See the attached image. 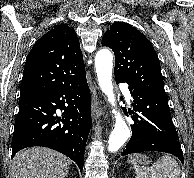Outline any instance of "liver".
Returning a JSON list of instances; mask_svg holds the SVG:
<instances>
[{
  "label": "liver",
  "mask_w": 194,
  "mask_h": 178,
  "mask_svg": "<svg viewBox=\"0 0 194 178\" xmlns=\"http://www.w3.org/2000/svg\"><path fill=\"white\" fill-rule=\"evenodd\" d=\"M71 160L52 149L32 147L19 151L13 158L11 178H65Z\"/></svg>",
  "instance_id": "6515ba94"
}]
</instances>
